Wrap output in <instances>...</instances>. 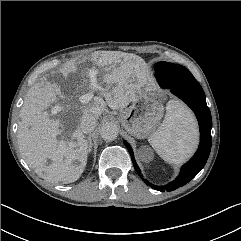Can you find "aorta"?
<instances>
[{
	"label": "aorta",
	"instance_id": "1",
	"mask_svg": "<svg viewBox=\"0 0 241 241\" xmlns=\"http://www.w3.org/2000/svg\"><path fill=\"white\" fill-rule=\"evenodd\" d=\"M118 126L113 122H105L100 129V135L105 141H113L118 136Z\"/></svg>",
	"mask_w": 241,
	"mask_h": 241
}]
</instances>
